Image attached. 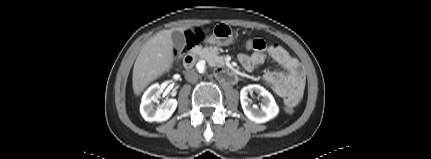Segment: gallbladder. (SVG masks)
I'll use <instances>...</instances> for the list:
<instances>
[{
    "mask_svg": "<svg viewBox=\"0 0 431 159\" xmlns=\"http://www.w3.org/2000/svg\"><path fill=\"white\" fill-rule=\"evenodd\" d=\"M172 41H173L174 46L178 50H182L186 45L185 36L180 31H173L172 32Z\"/></svg>",
    "mask_w": 431,
    "mask_h": 159,
    "instance_id": "gallbladder-1",
    "label": "gallbladder"
}]
</instances>
